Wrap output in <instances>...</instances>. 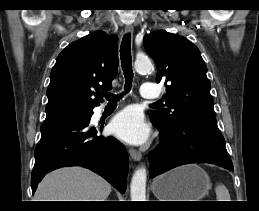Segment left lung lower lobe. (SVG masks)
Returning a JSON list of instances; mask_svg holds the SVG:
<instances>
[{"label": "left lung lower lobe", "mask_w": 259, "mask_h": 211, "mask_svg": "<svg viewBox=\"0 0 259 211\" xmlns=\"http://www.w3.org/2000/svg\"><path fill=\"white\" fill-rule=\"evenodd\" d=\"M153 123L160 131L162 142L149 154L150 178L188 163H211L233 170L217 125L187 119L166 129Z\"/></svg>", "instance_id": "left-lung-lower-lobe-1"}]
</instances>
